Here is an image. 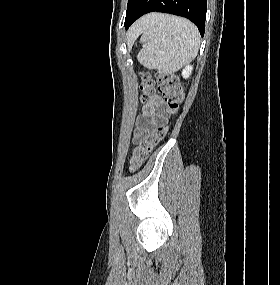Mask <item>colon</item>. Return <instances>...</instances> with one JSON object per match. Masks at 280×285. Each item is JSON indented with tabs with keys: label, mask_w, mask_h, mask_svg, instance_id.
<instances>
[{
	"label": "colon",
	"mask_w": 280,
	"mask_h": 285,
	"mask_svg": "<svg viewBox=\"0 0 280 285\" xmlns=\"http://www.w3.org/2000/svg\"><path fill=\"white\" fill-rule=\"evenodd\" d=\"M156 83L168 109L172 113L176 112L183 100V92L177 77L170 72H157L155 78L149 73H142L140 91L143 100H147L152 95ZM167 127L168 122L165 119L158 120L137 140L130 159L132 170L142 165L149 153L165 136Z\"/></svg>",
	"instance_id": "colon-1"
}]
</instances>
